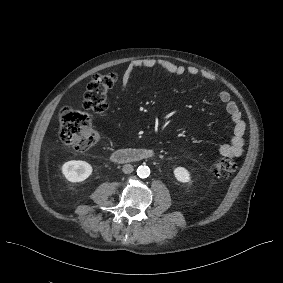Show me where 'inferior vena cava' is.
<instances>
[{
    "label": "inferior vena cava",
    "mask_w": 283,
    "mask_h": 283,
    "mask_svg": "<svg viewBox=\"0 0 283 283\" xmlns=\"http://www.w3.org/2000/svg\"><path fill=\"white\" fill-rule=\"evenodd\" d=\"M133 170H134V168H133V166L131 164L123 165V168H122L123 173L129 174V173H132Z\"/></svg>",
    "instance_id": "obj_1"
}]
</instances>
